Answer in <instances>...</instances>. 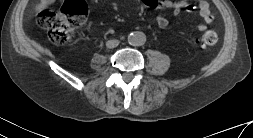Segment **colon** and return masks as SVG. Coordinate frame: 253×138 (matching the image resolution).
Listing matches in <instances>:
<instances>
[{"label": "colon", "mask_w": 253, "mask_h": 138, "mask_svg": "<svg viewBox=\"0 0 253 138\" xmlns=\"http://www.w3.org/2000/svg\"><path fill=\"white\" fill-rule=\"evenodd\" d=\"M87 12L84 0H67L59 11H41L38 24L48 31L54 44L65 45L71 40L73 31L84 24ZM217 41L216 32L211 30L204 32L198 39V43L204 47L214 46Z\"/></svg>", "instance_id": "colon-1"}]
</instances>
